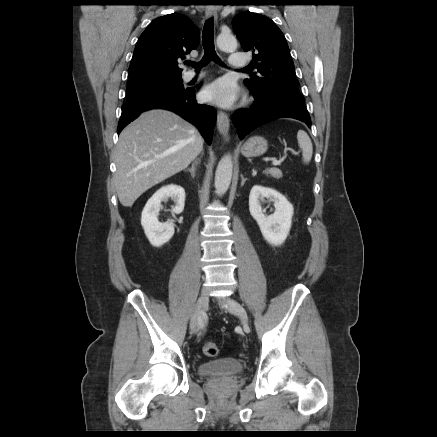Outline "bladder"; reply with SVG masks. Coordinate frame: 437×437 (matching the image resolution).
Here are the masks:
<instances>
[{
    "label": "bladder",
    "instance_id": "1",
    "mask_svg": "<svg viewBox=\"0 0 437 437\" xmlns=\"http://www.w3.org/2000/svg\"><path fill=\"white\" fill-rule=\"evenodd\" d=\"M243 371V363L230 357L206 361L198 366V374L202 377H229L239 375Z\"/></svg>",
    "mask_w": 437,
    "mask_h": 437
}]
</instances>
